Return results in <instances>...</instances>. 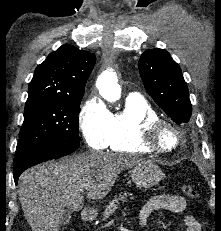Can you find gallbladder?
I'll list each match as a JSON object with an SVG mask.
<instances>
[{"label":"gallbladder","mask_w":221,"mask_h":231,"mask_svg":"<svg viewBox=\"0 0 221 231\" xmlns=\"http://www.w3.org/2000/svg\"><path fill=\"white\" fill-rule=\"evenodd\" d=\"M71 211L69 210H63L61 214V219H60V226L64 227L65 225L69 224L71 220Z\"/></svg>","instance_id":"1"}]
</instances>
